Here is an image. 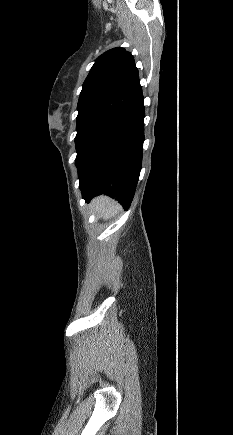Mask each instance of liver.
<instances>
[{"label": "liver", "mask_w": 233, "mask_h": 435, "mask_svg": "<svg viewBox=\"0 0 233 435\" xmlns=\"http://www.w3.org/2000/svg\"><path fill=\"white\" fill-rule=\"evenodd\" d=\"M91 204L97 214L103 219L111 218L121 210L120 206L114 200L106 196L97 197Z\"/></svg>", "instance_id": "6515ba94"}]
</instances>
